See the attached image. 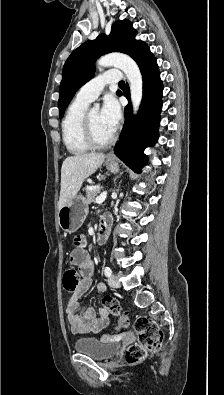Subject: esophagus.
Returning a JSON list of instances; mask_svg holds the SVG:
<instances>
[{
  "label": "esophagus",
  "mask_w": 224,
  "mask_h": 395,
  "mask_svg": "<svg viewBox=\"0 0 224 395\" xmlns=\"http://www.w3.org/2000/svg\"><path fill=\"white\" fill-rule=\"evenodd\" d=\"M107 159H114V154H113V152H109V153L107 154Z\"/></svg>",
  "instance_id": "34e87169"
}]
</instances>
